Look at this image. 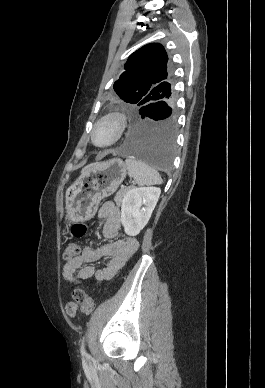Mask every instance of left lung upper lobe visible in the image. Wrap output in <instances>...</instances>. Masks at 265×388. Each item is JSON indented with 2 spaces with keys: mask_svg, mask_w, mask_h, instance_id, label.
Returning a JSON list of instances; mask_svg holds the SVG:
<instances>
[{
  "mask_svg": "<svg viewBox=\"0 0 265 388\" xmlns=\"http://www.w3.org/2000/svg\"><path fill=\"white\" fill-rule=\"evenodd\" d=\"M168 56L161 44L149 43L132 53L125 71L113 84L117 95L131 110L155 102H172L175 92L172 72L167 67Z\"/></svg>",
  "mask_w": 265,
  "mask_h": 388,
  "instance_id": "obj_1",
  "label": "left lung upper lobe"
}]
</instances>
